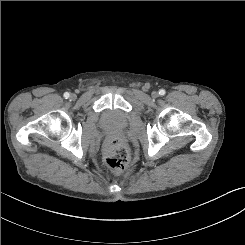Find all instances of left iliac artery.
Returning a JSON list of instances; mask_svg holds the SVG:
<instances>
[{
	"mask_svg": "<svg viewBox=\"0 0 245 245\" xmlns=\"http://www.w3.org/2000/svg\"><path fill=\"white\" fill-rule=\"evenodd\" d=\"M165 93H166V91H165L164 89H160V90H159V94H160L161 96L165 95Z\"/></svg>",
	"mask_w": 245,
	"mask_h": 245,
	"instance_id": "obj_1",
	"label": "left iliac artery"
}]
</instances>
